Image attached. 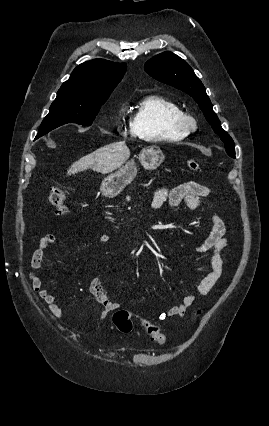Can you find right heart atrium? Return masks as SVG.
I'll list each match as a JSON object with an SVG mask.
<instances>
[{
    "label": "right heart atrium",
    "instance_id": "1",
    "mask_svg": "<svg viewBox=\"0 0 269 426\" xmlns=\"http://www.w3.org/2000/svg\"><path fill=\"white\" fill-rule=\"evenodd\" d=\"M121 113L123 112V110L121 109V111H120ZM124 129V126H123V124L121 123V121L119 122V124L117 125V130L119 131V132H121L122 130Z\"/></svg>",
    "mask_w": 269,
    "mask_h": 426
}]
</instances>
